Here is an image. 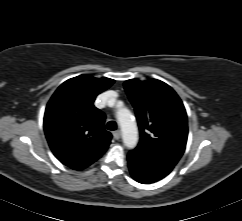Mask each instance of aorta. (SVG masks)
<instances>
[{
	"label": "aorta",
	"mask_w": 242,
	"mask_h": 221,
	"mask_svg": "<svg viewBox=\"0 0 242 221\" xmlns=\"http://www.w3.org/2000/svg\"><path fill=\"white\" fill-rule=\"evenodd\" d=\"M117 120L122 130L124 145L133 149L138 143V130L131 112L127 108H120L116 113Z\"/></svg>",
	"instance_id": "aorta-1"
}]
</instances>
